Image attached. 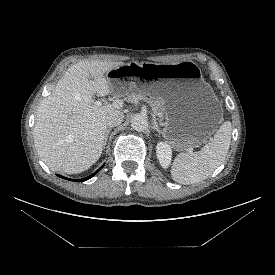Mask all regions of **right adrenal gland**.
Instances as JSON below:
<instances>
[{
    "label": "right adrenal gland",
    "mask_w": 275,
    "mask_h": 275,
    "mask_svg": "<svg viewBox=\"0 0 275 275\" xmlns=\"http://www.w3.org/2000/svg\"><path fill=\"white\" fill-rule=\"evenodd\" d=\"M110 131H111V128L107 129V131H106L105 140H104V147H105V145L107 143V139H108Z\"/></svg>",
    "instance_id": "obj_1"
}]
</instances>
